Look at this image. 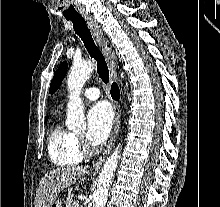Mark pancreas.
Listing matches in <instances>:
<instances>
[{"label":"pancreas","instance_id":"1","mask_svg":"<svg viewBox=\"0 0 220 207\" xmlns=\"http://www.w3.org/2000/svg\"><path fill=\"white\" fill-rule=\"evenodd\" d=\"M73 199L70 195H68L67 200H66V207H73Z\"/></svg>","mask_w":220,"mask_h":207}]
</instances>
